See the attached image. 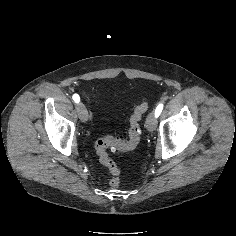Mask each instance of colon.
<instances>
[{"label":"colon","mask_w":236,"mask_h":236,"mask_svg":"<svg viewBox=\"0 0 236 236\" xmlns=\"http://www.w3.org/2000/svg\"><path fill=\"white\" fill-rule=\"evenodd\" d=\"M148 107L149 104L147 102H143L135 108L130 117L128 137L126 139L106 135L98 139L95 144V150L99 161L110 171L112 175L110 185L113 187H118L121 184V170L109 157L107 150L112 149L120 152H131L138 147L142 134L139 122L148 110Z\"/></svg>","instance_id":"obj_1"}]
</instances>
